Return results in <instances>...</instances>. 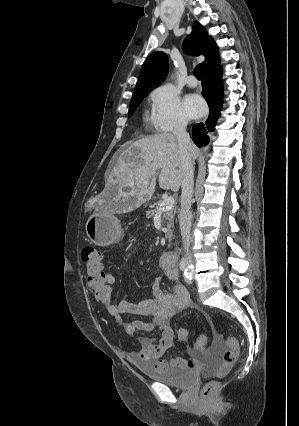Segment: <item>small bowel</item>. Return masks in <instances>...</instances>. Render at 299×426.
<instances>
[{"label":"small bowel","mask_w":299,"mask_h":426,"mask_svg":"<svg viewBox=\"0 0 299 426\" xmlns=\"http://www.w3.org/2000/svg\"><path fill=\"white\" fill-rule=\"evenodd\" d=\"M165 276L158 277L152 286V296L138 302L122 300L118 304L113 302L105 306L109 314L125 328L128 335L133 336L137 331H158V339L141 336L138 338L139 351L129 354L130 361L136 363L140 360L150 361L155 368L165 369L168 367L194 368L200 361V349L188 347L190 358H172L170 361L161 359L163 354L171 348L174 340V332L170 326V320L180 311L190 305V298L185 288L176 284L171 291L163 289L164 278L176 281L178 271L175 265L165 266L162 264ZM105 280L112 287L116 283L115 276L105 268ZM148 316L150 320L139 319L128 321L125 315Z\"/></svg>","instance_id":"c3829d8e"}]
</instances>
